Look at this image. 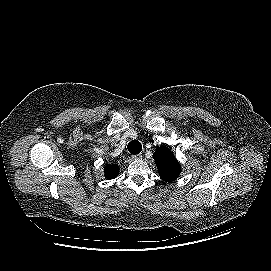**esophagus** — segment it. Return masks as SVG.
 I'll return each mask as SVG.
<instances>
[{"mask_svg": "<svg viewBox=\"0 0 271 271\" xmlns=\"http://www.w3.org/2000/svg\"><path fill=\"white\" fill-rule=\"evenodd\" d=\"M133 159H141L142 158V154H136V155H132Z\"/></svg>", "mask_w": 271, "mask_h": 271, "instance_id": "esophagus-1", "label": "esophagus"}]
</instances>
